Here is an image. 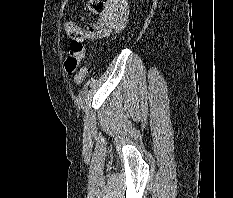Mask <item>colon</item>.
Wrapping results in <instances>:
<instances>
[{
    "mask_svg": "<svg viewBox=\"0 0 233 198\" xmlns=\"http://www.w3.org/2000/svg\"><path fill=\"white\" fill-rule=\"evenodd\" d=\"M107 4V0H89V8L94 14H101ZM66 31L72 39V45L75 50L82 47V43L88 37V30L82 29L72 22L65 25ZM79 61L77 57L71 53L65 60V69L69 74L76 73L75 82L81 84L89 73V67L83 66L78 70Z\"/></svg>",
    "mask_w": 233,
    "mask_h": 198,
    "instance_id": "5ec220e1",
    "label": "colon"
}]
</instances>
